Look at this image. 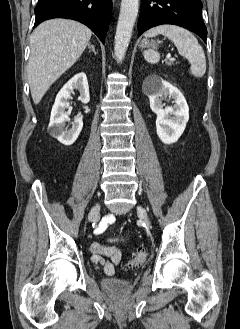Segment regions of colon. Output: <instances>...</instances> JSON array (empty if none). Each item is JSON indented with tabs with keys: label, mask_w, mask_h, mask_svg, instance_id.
I'll return each mask as SVG.
<instances>
[{
	"label": "colon",
	"mask_w": 240,
	"mask_h": 329,
	"mask_svg": "<svg viewBox=\"0 0 240 329\" xmlns=\"http://www.w3.org/2000/svg\"><path fill=\"white\" fill-rule=\"evenodd\" d=\"M147 254L144 251L135 253L128 261L127 267L129 269H135L141 266L146 260Z\"/></svg>",
	"instance_id": "5ec220e1"
}]
</instances>
